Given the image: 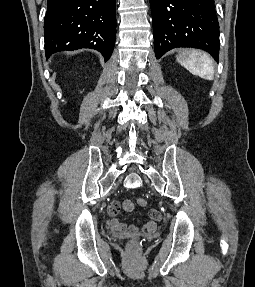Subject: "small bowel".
Returning a JSON list of instances; mask_svg holds the SVG:
<instances>
[{
	"label": "small bowel",
	"mask_w": 255,
	"mask_h": 287,
	"mask_svg": "<svg viewBox=\"0 0 255 287\" xmlns=\"http://www.w3.org/2000/svg\"><path fill=\"white\" fill-rule=\"evenodd\" d=\"M134 204L131 200L125 199L123 201H113L108 206V213L110 216L115 217L120 210L131 212ZM149 220L142 226L126 225L117 218H113L110 222L111 229L117 234L133 235L137 233H153L156 230L157 222L162 220V214L156 209L148 211Z\"/></svg>",
	"instance_id": "c3829d8e"
}]
</instances>
